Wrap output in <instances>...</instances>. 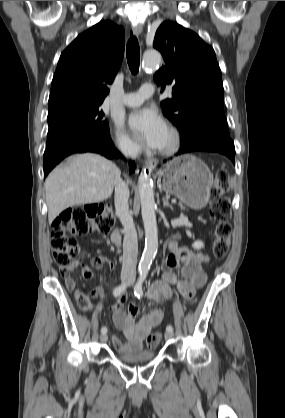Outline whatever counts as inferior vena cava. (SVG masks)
Segmentation results:
<instances>
[{
	"label": "inferior vena cava",
	"instance_id": "602c4592",
	"mask_svg": "<svg viewBox=\"0 0 285 418\" xmlns=\"http://www.w3.org/2000/svg\"><path fill=\"white\" fill-rule=\"evenodd\" d=\"M121 152L126 157L135 158L138 155V148L132 144H121ZM129 188L128 185L119 179L115 185V210L124 227L123 240V262L122 275L134 276L136 274V264L138 255V239L133 217L129 213Z\"/></svg>",
	"mask_w": 285,
	"mask_h": 418
}]
</instances>
